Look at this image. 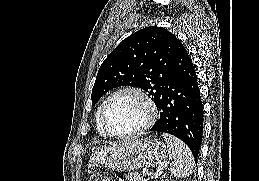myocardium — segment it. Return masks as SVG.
<instances>
[{
  "instance_id": "1",
  "label": "myocardium",
  "mask_w": 259,
  "mask_h": 181,
  "mask_svg": "<svg viewBox=\"0 0 259 181\" xmlns=\"http://www.w3.org/2000/svg\"><path fill=\"white\" fill-rule=\"evenodd\" d=\"M124 93H132V94L137 95L144 102L145 106L147 107L148 116H147L145 122L139 128H137L131 132H128V133L117 134V133L112 132L109 129V127L107 126L105 114H106V110H107V107L110 104V102L115 97H117L121 94H124ZM157 117H158V110H157V106H156L155 102L144 89H142L138 86H125V87H121V88L115 90L113 93H111L106 98V100L103 102L101 110H100V124H101L102 128L104 129V131L106 132V134L108 136L115 138V139H129V138H134V137L141 135L142 133H144L146 130H148L150 127L153 126V124L157 120Z\"/></svg>"
}]
</instances>
